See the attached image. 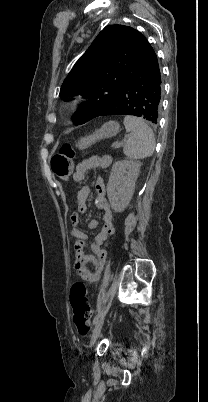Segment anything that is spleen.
<instances>
[{"mask_svg":"<svg viewBox=\"0 0 208 402\" xmlns=\"http://www.w3.org/2000/svg\"><path fill=\"white\" fill-rule=\"evenodd\" d=\"M126 132H130L128 140L124 144V154L130 160H143L152 156L155 150V138L153 130L136 116H125Z\"/></svg>","mask_w":208,"mask_h":402,"instance_id":"obj_1","label":"spleen"}]
</instances>
